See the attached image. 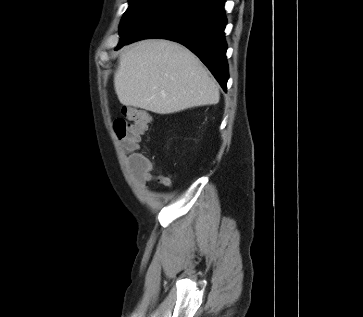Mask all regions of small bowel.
I'll return each instance as SVG.
<instances>
[{
    "label": "small bowel",
    "instance_id": "obj_1",
    "mask_svg": "<svg viewBox=\"0 0 363 317\" xmlns=\"http://www.w3.org/2000/svg\"><path fill=\"white\" fill-rule=\"evenodd\" d=\"M131 168L133 172L139 176V182L143 186L155 181L167 187L171 186L170 178L167 175L156 173L155 165L146 156H145V161L142 165L139 166L131 165Z\"/></svg>",
    "mask_w": 363,
    "mask_h": 317
}]
</instances>
